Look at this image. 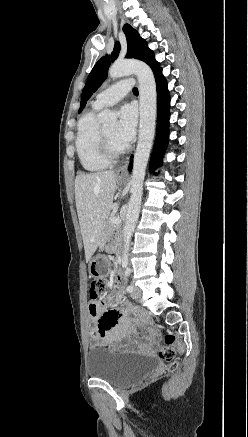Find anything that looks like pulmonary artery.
Returning a JSON list of instances; mask_svg holds the SVG:
<instances>
[{"label": "pulmonary artery", "instance_id": "e3ab8cb5", "mask_svg": "<svg viewBox=\"0 0 248 437\" xmlns=\"http://www.w3.org/2000/svg\"><path fill=\"white\" fill-rule=\"evenodd\" d=\"M133 83L132 79H124L109 86L97 94L93 106L101 109L114 105L131 91Z\"/></svg>", "mask_w": 248, "mask_h": 437}]
</instances>
